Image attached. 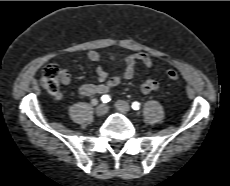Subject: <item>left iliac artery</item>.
Instances as JSON below:
<instances>
[{
  "label": "left iliac artery",
  "instance_id": "44dca946",
  "mask_svg": "<svg viewBox=\"0 0 230 186\" xmlns=\"http://www.w3.org/2000/svg\"><path fill=\"white\" fill-rule=\"evenodd\" d=\"M132 108L134 109V110H139L140 109V103H138V102H133L132 103Z\"/></svg>",
  "mask_w": 230,
  "mask_h": 186
}]
</instances>
